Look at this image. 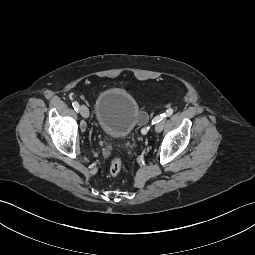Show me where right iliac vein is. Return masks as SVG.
Wrapping results in <instances>:
<instances>
[{
    "label": "right iliac vein",
    "instance_id": "right-iliac-vein-1",
    "mask_svg": "<svg viewBox=\"0 0 255 255\" xmlns=\"http://www.w3.org/2000/svg\"><path fill=\"white\" fill-rule=\"evenodd\" d=\"M79 110H80V114L82 115V117H84V118L89 117V110L85 105H81L79 107Z\"/></svg>",
    "mask_w": 255,
    "mask_h": 255
}]
</instances>
